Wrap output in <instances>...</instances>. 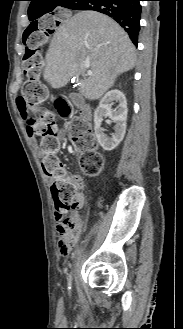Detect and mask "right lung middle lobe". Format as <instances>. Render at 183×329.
<instances>
[{"mask_svg": "<svg viewBox=\"0 0 183 329\" xmlns=\"http://www.w3.org/2000/svg\"><path fill=\"white\" fill-rule=\"evenodd\" d=\"M55 9H56V8H55ZM55 9H54V10H55ZM54 10H53V13H54ZM53 13H52V14H53ZM26 33H27V31H26Z\"/></svg>", "mask_w": 183, "mask_h": 329, "instance_id": "1", "label": "right lung middle lobe"}]
</instances>
